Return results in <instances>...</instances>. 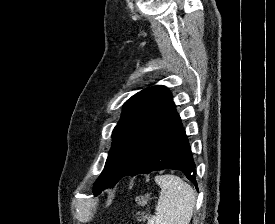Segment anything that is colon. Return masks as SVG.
Segmentation results:
<instances>
[{"instance_id":"5ec220e1","label":"colon","mask_w":275,"mask_h":224,"mask_svg":"<svg viewBox=\"0 0 275 224\" xmlns=\"http://www.w3.org/2000/svg\"><path fill=\"white\" fill-rule=\"evenodd\" d=\"M150 200V196L148 194H141L137 197V203L140 206H146Z\"/></svg>"}]
</instances>
